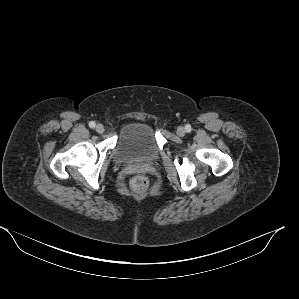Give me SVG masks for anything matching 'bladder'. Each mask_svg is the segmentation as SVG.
<instances>
[{"label": "bladder", "instance_id": "1", "mask_svg": "<svg viewBox=\"0 0 299 299\" xmlns=\"http://www.w3.org/2000/svg\"><path fill=\"white\" fill-rule=\"evenodd\" d=\"M159 147L152 126L146 121H133L120 133L114 151L118 162L153 161Z\"/></svg>", "mask_w": 299, "mask_h": 299}]
</instances>
